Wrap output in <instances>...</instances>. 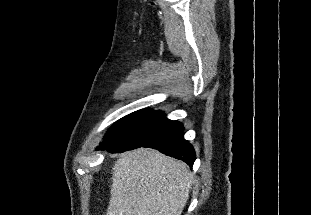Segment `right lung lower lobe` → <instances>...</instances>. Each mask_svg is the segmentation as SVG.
Here are the masks:
<instances>
[{"mask_svg": "<svg viewBox=\"0 0 311 215\" xmlns=\"http://www.w3.org/2000/svg\"><path fill=\"white\" fill-rule=\"evenodd\" d=\"M183 131L180 122L167 119L161 111H152L125 137L102 150L116 153L150 147L183 160L192 167L196 155L192 145L184 139Z\"/></svg>", "mask_w": 311, "mask_h": 215, "instance_id": "right-lung-lower-lobe-1", "label": "right lung lower lobe"}]
</instances>
